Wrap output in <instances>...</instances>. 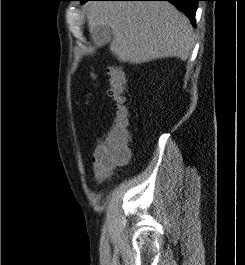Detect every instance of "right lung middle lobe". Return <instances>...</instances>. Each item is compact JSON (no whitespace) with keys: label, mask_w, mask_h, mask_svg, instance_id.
I'll use <instances>...</instances> for the list:
<instances>
[{"label":"right lung middle lobe","mask_w":245,"mask_h":265,"mask_svg":"<svg viewBox=\"0 0 245 265\" xmlns=\"http://www.w3.org/2000/svg\"><path fill=\"white\" fill-rule=\"evenodd\" d=\"M79 1H81L82 3H85V2L88 1V0H79Z\"/></svg>","instance_id":"dd1d6c3e"}]
</instances>
